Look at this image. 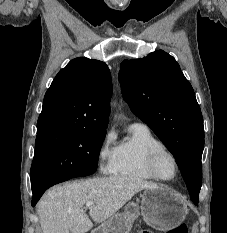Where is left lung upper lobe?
I'll list each match as a JSON object with an SVG mask.
<instances>
[{
  "mask_svg": "<svg viewBox=\"0 0 227 233\" xmlns=\"http://www.w3.org/2000/svg\"><path fill=\"white\" fill-rule=\"evenodd\" d=\"M119 80L131 111L175 157L192 201H199L204 148L203 117L193 88L175 58L158 50L124 60Z\"/></svg>",
  "mask_w": 227,
  "mask_h": 233,
  "instance_id": "obj_1",
  "label": "left lung upper lobe"
}]
</instances>
